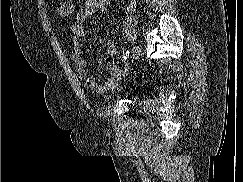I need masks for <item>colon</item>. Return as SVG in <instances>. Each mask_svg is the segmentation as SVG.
I'll list each match as a JSON object with an SVG mask.
<instances>
[{
  "label": "colon",
  "instance_id": "1",
  "mask_svg": "<svg viewBox=\"0 0 243 182\" xmlns=\"http://www.w3.org/2000/svg\"><path fill=\"white\" fill-rule=\"evenodd\" d=\"M73 10H74V5L71 0L60 2L57 5V11L59 15L63 17L70 16L73 13Z\"/></svg>",
  "mask_w": 243,
  "mask_h": 182
}]
</instances>
